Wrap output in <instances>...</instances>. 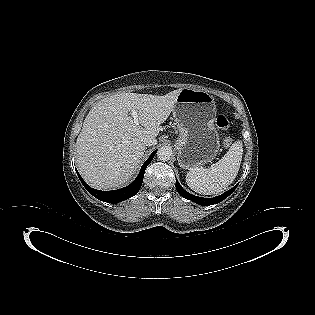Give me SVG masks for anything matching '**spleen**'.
Returning <instances> with one entry per match:
<instances>
[{
	"label": "spleen",
	"mask_w": 315,
	"mask_h": 315,
	"mask_svg": "<svg viewBox=\"0 0 315 315\" xmlns=\"http://www.w3.org/2000/svg\"><path fill=\"white\" fill-rule=\"evenodd\" d=\"M243 155L241 141H235L227 153L209 168H196L186 174L187 185L199 194H219L236 178Z\"/></svg>",
	"instance_id": "spleen-1"
}]
</instances>
